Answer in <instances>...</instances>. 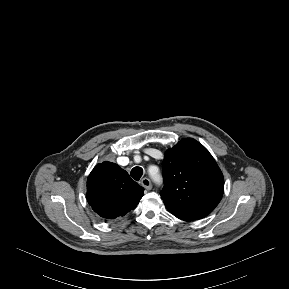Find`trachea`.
<instances>
[{"label":"trachea","mask_w":289,"mask_h":289,"mask_svg":"<svg viewBox=\"0 0 289 289\" xmlns=\"http://www.w3.org/2000/svg\"><path fill=\"white\" fill-rule=\"evenodd\" d=\"M130 174L134 180L139 181L143 175V169L141 167H134Z\"/></svg>","instance_id":"3493384b"}]
</instances>
